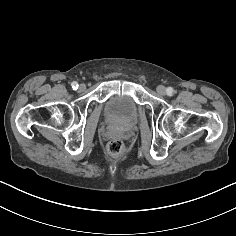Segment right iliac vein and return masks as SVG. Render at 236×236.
<instances>
[{
    "instance_id": "right-iliac-vein-1",
    "label": "right iliac vein",
    "mask_w": 236,
    "mask_h": 236,
    "mask_svg": "<svg viewBox=\"0 0 236 236\" xmlns=\"http://www.w3.org/2000/svg\"><path fill=\"white\" fill-rule=\"evenodd\" d=\"M78 90L81 92V91H84L85 90V85L84 84H80Z\"/></svg>"
}]
</instances>
